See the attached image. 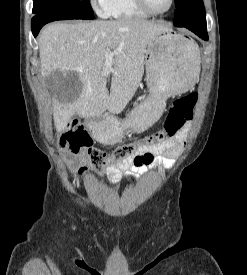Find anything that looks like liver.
Listing matches in <instances>:
<instances>
[{"instance_id":"1","label":"liver","mask_w":247,"mask_h":275,"mask_svg":"<svg viewBox=\"0 0 247 275\" xmlns=\"http://www.w3.org/2000/svg\"><path fill=\"white\" fill-rule=\"evenodd\" d=\"M166 26L143 19L115 21H79L53 23L39 37L41 75L75 72L80 90L68 98L53 100L54 125L57 132L66 129L74 114L97 117L106 109L121 113L133 98L144 73L145 53L149 42ZM116 53L112 71H106L105 53ZM111 73L110 94L106 87Z\"/></svg>"}]
</instances>
